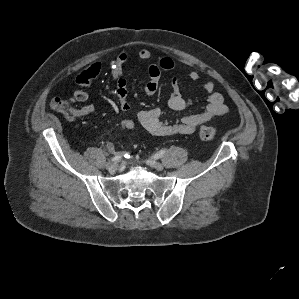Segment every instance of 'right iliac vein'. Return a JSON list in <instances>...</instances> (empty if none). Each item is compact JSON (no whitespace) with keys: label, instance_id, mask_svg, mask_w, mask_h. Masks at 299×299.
<instances>
[{"label":"right iliac vein","instance_id":"right-iliac-vein-1","mask_svg":"<svg viewBox=\"0 0 299 299\" xmlns=\"http://www.w3.org/2000/svg\"><path fill=\"white\" fill-rule=\"evenodd\" d=\"M106 167H107V169H108L110 172H114V171L117 170L118 165H117L116 163H113V162H108V163L106 164Z\"/></svg>","mask_w":299,"mask_h":299}]
</instances>
